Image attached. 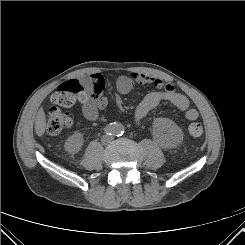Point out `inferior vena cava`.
Instances as JSON below:
<instances>
[{
  "label": "inferior vena cava",
  "mask_w": 245,
  "mask_h": 245,
  "mask_svg": "<svg viewBox=\"0 0 245 245\" xmlns=\"http://www.w3.org/2000/svg\"><path fill=\"white\" fill-rule=\"evenodd\" d=\"M112 139H113V136L104 135V136L102 137V143H103V144H107V143H109L110 141H112Z\"/></svg>",
  "instance_id": "inferior-vena-cava-1"
}]
</instances>
